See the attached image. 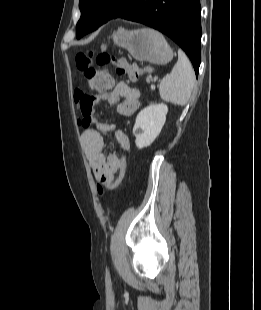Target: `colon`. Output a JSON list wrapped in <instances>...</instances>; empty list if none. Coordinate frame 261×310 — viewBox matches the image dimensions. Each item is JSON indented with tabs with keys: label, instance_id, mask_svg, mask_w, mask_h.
<instances>
[{
	"label": "colon",
	"instance_id": "obj_1",
	"mask_svg": "<svg viewBox=\"0 0 261 310\" xmlns=\"http://www.w3.org/2000/svg\"><path fill=\"white\" fill-rule=\"evenodd\" d=\"M95 62L96 66L93 65V54L91 52H80L75 57L77 69L88 81L90 89L96 92L107 91L113 85V77L106 69L110 63L115 64L117 74L127 75L132 81H136L141 74V70L137 66L129 64L121 59L116 60L105 52L98 54L95 58ZM118 152L122 161V167L112 182L100 183L98 185L99 193H103L104 189L116 188L123 178L126 168V157L123 148L119 147Z\"/></svg>",
	"mask_w": 261,
	"mask_h": 310
}]
</instances>
